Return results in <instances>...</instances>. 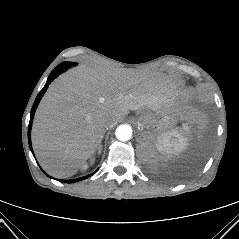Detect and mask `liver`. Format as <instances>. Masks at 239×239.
<instances>
[{
	"label": "liver",
	"mask_w": 239,
	"mask_h": 239,
	"mask_svg": "<svg viewBox=\"0 0 239 239\" xmlns=\"http://www.w3.org/2000/svg\"><path fill=\"white\" fill-rule=\"evenodd\" d=\"M138 109L176 110L180 120L192 117L185 93L166 76L90 67L60 76L34 117L32 144L40 165L53 177L72 176L98 149L105 120L117 123Z\"/></svg>",
	"instance_id": "liver-1"
}]
</instances>
